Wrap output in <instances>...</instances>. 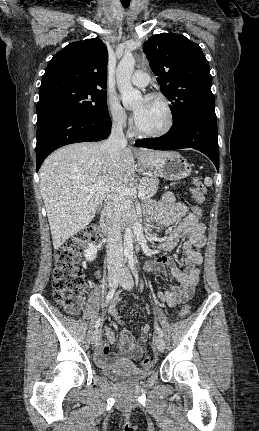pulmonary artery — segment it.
<instances>
[{
	"label": "pulmonary artery",
	"mask_w": 259,
	"mask_h": 431,
	"mask_svg": "<svg viewBox=\"0 0 259 431\" xmlns=\"http://www.w3.org/2000/svg\"><path fill=\"white\" fill-rule=\"evenodd\" d=\"M131 81L137 87H145L149 82V77L147 73L138 70L133 74Z\"/></svg>",
	"instance_id": "obj_1"
}]
</instances>
